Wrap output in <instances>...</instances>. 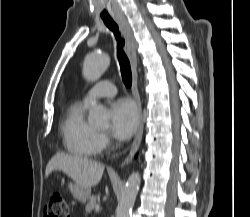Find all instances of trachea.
Returning <instances> with one entry per match:
<instances>
[{"instance_id":"1","label":"trachea","mask_w":250,"mask_h":217,"mask_svg":"<svg viewBox=\"0 0 250 217\" xmlns=\"http://www.w3.org/2000/svg\"><path fill=\"white\" fill-rule=\"evenodd\" d=\"M105 25L113 32L117 41V57L121 68L122 80L127 88L132 85L130 62L123 50L124 40L121 38L118 25L112 19H104Z\"/></svg>"}]
</instances>
